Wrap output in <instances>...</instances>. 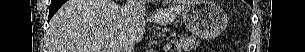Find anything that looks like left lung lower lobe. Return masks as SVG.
I'll return each mask as SVG.
<instances>
[{
  "label": "left lung lower lobe",
  "instance_id": "obj_1",
  "mask_svg": "<svg viewBox=\"0 0 305 52\" xmlns=\"http://www.w3.org/2000/svg\"><path fill=\"white\" fill-rule=\"evenodd\" d=\"M247 3H249L251 6H253L252 0H247Z\"/></svg>",
  "mask_w": 305,
  "mask_h": 52
}]
</instances>
